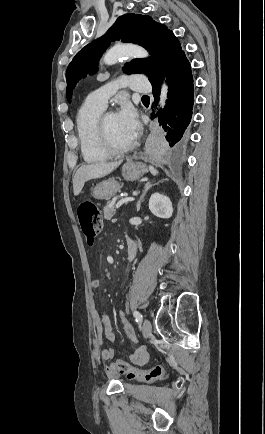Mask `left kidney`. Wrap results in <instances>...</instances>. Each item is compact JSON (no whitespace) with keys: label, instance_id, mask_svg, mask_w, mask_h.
Segmentation results:
<instances>
[{"label":"left kidney","instance_id":"1","mask_svg":"<svg viewBox=\"0 0 265 434\" xmlns=\"http://www.w3.org/2000/svg\"><path fill=\"white\" fill-rule=\"evenodd\" d=\"M149 210L158 218H171L173 208L170 198L162 194H152L149 200Z\"/></svg>","mask_w":265,"mask_h":434}]
</instances>
